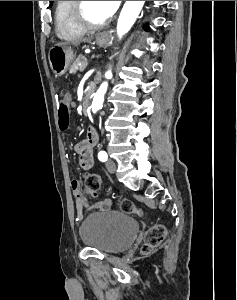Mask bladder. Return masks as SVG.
<instances>
[{
	"label": "bladder",
	"mask_w": 237,
	"mask_h": 300,
	"mask_svg": "<svg viewBox=\"0 0 237 300\" xmlns=\"http://www.w3.org/2000/svg\"><path fill=\"white\" fill-rule=\"evenodd\" d=\"M139 230L138 222L121 212L104 211L88 215L79 227L81 242L102 253H118L128 248Z\"/></svg>",
	"instance_id": "1"
}]
</instances>
